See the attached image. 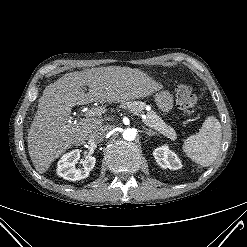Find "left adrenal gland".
I'll use <instances>...</instances> for the list:
<instances>
[{"label":"left adrenal gland","instance_id":"obj_1","mask_svg":"<svg viewBox=\"0 0 247 247\" xmlns=\"http://www.w3.org/2000/svg\"><path fill=\"white\" fill-rule=\"evenodd\" d=\"M145 134H146L147 136H156V135H157V133L153 132L152 130H146V131H145Z\"/></svg>","mask_w":247,"mask_h":247}]
</instances>
